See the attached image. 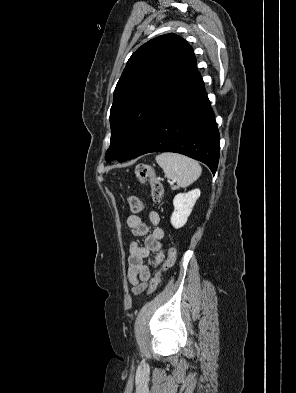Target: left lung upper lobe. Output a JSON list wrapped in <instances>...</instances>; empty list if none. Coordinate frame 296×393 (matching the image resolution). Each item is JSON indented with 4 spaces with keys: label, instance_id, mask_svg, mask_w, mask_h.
<instances>
[{
    "label": "left lung upper lobe",
    "instance_id": "1",
    "mask_svg": "<svg viewBox=\"0 0 296 393\" xmlns=\"http://www.w3.org/2000/svg\"><path fill=\"white\" fill-rule=\"evenodd\" d=\"M199 74L191 46L170 33L138 48L116 85L107 161H126L165 107Z\"/></svg>",
    "mask_w": 296,
    "mask_h": 393
}]
</instances>
